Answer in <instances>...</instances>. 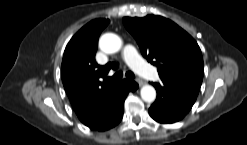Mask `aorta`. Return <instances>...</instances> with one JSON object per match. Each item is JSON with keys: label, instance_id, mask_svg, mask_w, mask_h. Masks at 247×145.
I'll return each instance as SVG.
<instances>
[{"label": "aorta", "instance_id": "aorta-1", "mask_svg": "<svg viewBox=\"0 0 247 145\" xmlns=\"http://www.w3.org/2000/svg\"><path fill=\"white\" fill-rule=\"evenodd\" d=\"M99 46L105 53H116L122 47V40L116 34L106 33L100 38ZM140 95L143 101L151 103L156 99V90L151 85H144L141 88Z\"/></svg>", "mask_w": 247, "mask_h": 145}]
</instances>
